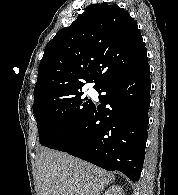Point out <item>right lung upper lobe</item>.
I'll return each instance as SVG.
<instances>
[{"mask_svg":"<svg viewBox=\"0 0 178 195\" xmlns=\"http://www.w3.org/2000/svg\"><path fill=\"white\" fill-rule=\"evenodd\" d=\"M147 51L137 24L118 5L92 4L46 45L34 88V107L82 89H98L143 65Z\"/></svg>","mask_w":178,"mask_h":195,"instance_id":"right-lung-upper-lobe-1","label":"right lung upper lobe"}]
</instances>
